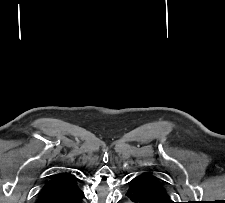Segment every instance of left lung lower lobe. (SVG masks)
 Listing matches in <instances>:
<instances>
[{"label":"left lung lower lobe","instance_id":"1","mask_svg":"<svg viewBox=\"0 0 225 203\" xmlns=\"http://www.w3.org/2000/svg\"><path fill=\"white\" fill-rule=\"evenodd\" d=\"M126 196L134 203H163L135 177L128 180Z\"/></svg>","mask_w":225,"mask_h":203}]
</instances>
